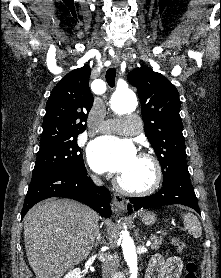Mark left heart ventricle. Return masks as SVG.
I'll use <instances>...</instances> for the list:
<instances>
[{"mask_svg": "<svg viewBox=\"0 0 221 278\" xmlns=\"http://www.w3.org/2000/svg\"><path fill=\"white\" fill-rule=\"evenodd\" d=\"M119 177L127 187L143 189L148 187L153 181V166L148 160L137 156L130 167Z\"/></svg>", "mask_w": 221, "mask_h": 278, "instance_id": "1", "label": "left heart ventricle"}]
</instances>
